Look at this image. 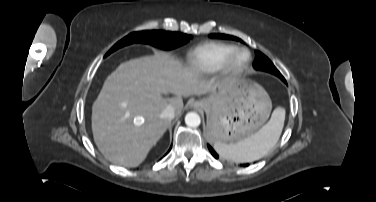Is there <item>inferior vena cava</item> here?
Instances as JSON below:
<instances>
[{
	"instance_id": "1",
	"label": "inferior vena cava",
	"mask_w": 376,
	"mask_h": 202,
	"mask_svg": "<svg viewBox=\"0 0 376 202\" xmlns=\"http://www.w3.org/2000/svg\"><path fill=\"white\" fill-rule=\"evenodd\" d=\"M175 117V111L172 106H167L160 114V118L171 121Z\"/></svg>"
}]
</instances>
